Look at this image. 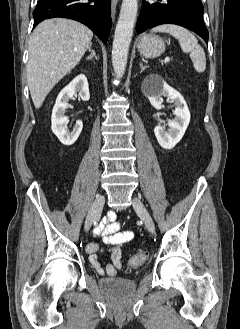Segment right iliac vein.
<instances>
[{"instance_id":"1","label":"right iliac vein","mask_w":240,"mask_h":329,"mask_svg":"<svg viewBox=\"0 0 240 329\" xmlns=\"http://www.w3.org/2000/svg\"><path fill=\"white\" fill-rule=\"evenodd\" d=\"M104 203L105 197L103 195L97 196L92 203L85 220L84 228L86 232L90 230L92 224L100 217Z\"/></svg>"}]
</instances>
